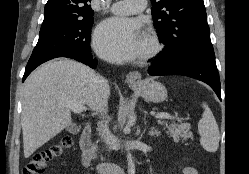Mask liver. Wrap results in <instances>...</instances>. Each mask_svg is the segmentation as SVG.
Segmentation results:
<instances>
[{
	"label": "liver",
	"mask_w": 249,
	"mask_h": 174,
	"mask_svg": "<svg viewBox=\"0 0 249 174\" xmlns=\"http://www.w3.org/2000/svg\"><path fill=\"white\" fill-rule=\"evenodd\" d=\"M98 75L88 66L71 60H51L26 79L22 99L24 157L72 124L69 104L101 107ZM110 94L108 90L107 101Z\"/></svg>",
	"instance_id": "liver-1"
}]
</instances>
